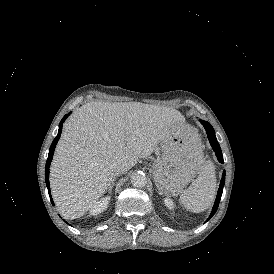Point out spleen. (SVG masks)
<instances>
[{
  "instance_id": "spleen-1",
  "label": "spleen",
  "mask_w": 274,
  "mask_h": 274,
  "mask_svg": "<svg viewBox=\"0 0 274 274\" xmlns=\"http://www.w3.org/2000/svg\"><path fill=\"white\" fill-rule=\"evenodd\" d=\"M191 148L197 156V164L199 165V175L192 184L185 189L181 196L180 202L188 210L199 213L208 209L216 196L217 181L215 175V165L211 160L203 158L201 141L197 131L195 137L191 141Z\"/></svg>"
}]
</instances>
